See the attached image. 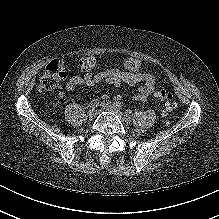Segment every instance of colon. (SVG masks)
Masks as SVG:
<instances>
[{
  "mask_svg": "<svg viewBox=\"0 0 219 219\" xmlns=\"http://www.w3.org/2000/svg\"><path fill=\"white\" fill-rule=\"evenodd\" d=\"M83 66L85 68H92L94 66L93 58H85L83 60ZM67 67L63 60L54 59L43 70L40 81L39 88L41 90H53L55 89L61 80L66 76ZM156 98L163 103L166 112H170L174 109L175 103L171 93L165 90H160L156 93Z\"/></svg>",
  "mask_w": 219,
  "mask_h": 219,
  "instance_id": "colon-1",
  "label": "colon"
}]
</instances>
